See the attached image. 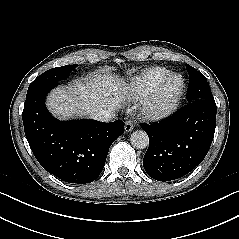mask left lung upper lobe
I'll return each instance as SVG.
<instances>
[{
  "mask_svg": "<svg viewBox=\"0 0 239 239\" xmlns=\"http://www.w3.org/2000/svg\"><path fill=\"white\" fill-rule=\"evenodd\" d=\"M190 76L189 88L187 91L188 102L200 99H214L206 78L192 66L186 64Z\"/></svg>",
  "mask_w": 239,
  "mask_h": 239,
  "instance_id": "left-lung-upper-lobe-1",
  "label": "left lung upper lobe"
}]
</instances>
